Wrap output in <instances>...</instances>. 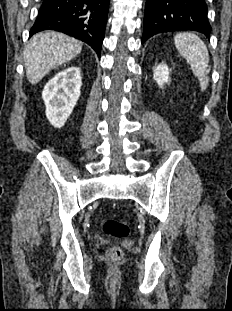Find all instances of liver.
Segmentation results:
<instances>
[{
    "label": "liver",
    "instance_id": "liver-1",
    "mask_svg": "<svg viewBox=\"0 0 232 311\" xmlns=\"http://www.w3.org/2000/svg\"><path fill=\"white\" fill-rule=\"evenodd\" d=\"M82 46V42L59 32L34 35L24 52L28 81L38 83L52 69L76 57Z\"/></svg>",
    "mask_w": 232,
    "mask_h": 311
}]
</instances>
